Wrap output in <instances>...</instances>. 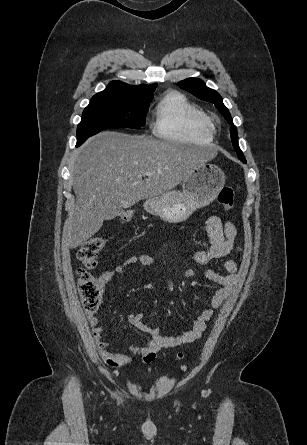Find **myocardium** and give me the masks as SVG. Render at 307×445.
I'll list each match as a JSON object with an SVG mask.
<instances>
[{"instance_id":"f54148a6","label":"myocardium","mask_w":307,"mask_h":445,"mask_svg":"<svg viewBox=\"0 0 307 445\" xmlns=\"http://www.w3.org/2000/svg\"><path fill=\"white\" fill-rule=\"evenodd\" d=\"M213 127H214V129H215V124H213Z\"/></svg>"}]
</instances>
